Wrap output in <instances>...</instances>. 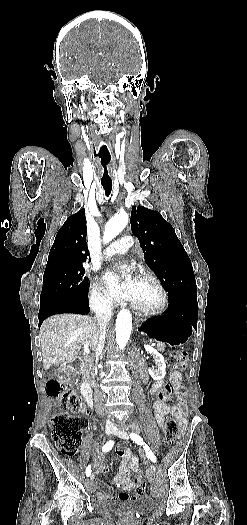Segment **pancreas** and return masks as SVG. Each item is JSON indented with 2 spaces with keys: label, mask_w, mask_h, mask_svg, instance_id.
Listing matches in <instances>:
<instances>
[{
  "label": "pancreas",
  "mask_w": 247,
  "mask_h": 525,
  "mask_svg": "<svg viewBox=\"0 0 247 525\" xmlns=\"http://www.w3.org/2000/svg\"><path fill=\"white\" fill-rule=\"evenodd\" d=\"M158 351L160 353H165L167 351L166 345H163V343H162V345L158 348ZM88 373H90L91 379H92V381H94L95 375H94L92 369H88Z\"/></svg>",
  "instance_id": "1"
}]
</instances>
